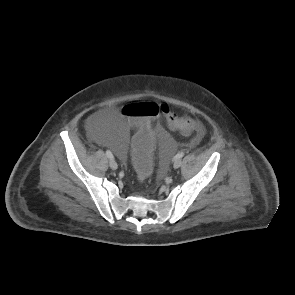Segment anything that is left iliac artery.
Returning <instances> with one entry per match:
<instances>
[{
  "label": "left iliac artery",
  "mask_w": 295,
  "mask_h": 295,
  "mask_svg": "<svg viewBox=\"0 0 295 295\" xmlns=\"http://www.w3.org/2000/svg\"><path fill=\"white\" fill-rule=\"evenodd\" d=\"M184 154H185L184 152H179L178 154L175 155L174 160L181 159L184 156Z\"/></svg>",
  "instance_id": "1"
}]
</instances>
